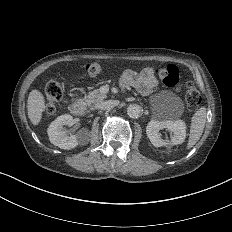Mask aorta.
Wrapping results in <instances>:
<instances>
[{"instance_id": "762f6f07", "label": "aorta", "mask_w": 232, "mask_h": 232, "mask_svg": "<svg viewBox=\"0 0 232 232\" xmlns=\"http://www.w3.org/2000/svg\"><path fill=\"white\" fill-rule=\"evenodd\" d=\"M142 108L137 104H131L127 108V114L131 118H138L141 115Z\"/></svg>"}]
</instances>
